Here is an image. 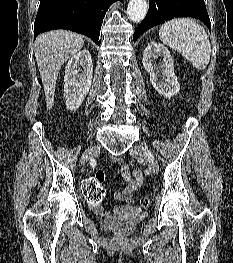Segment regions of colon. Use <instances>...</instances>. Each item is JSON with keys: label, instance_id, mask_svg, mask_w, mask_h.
I'll use <instances>...</instances> for the list:
<instances>
[{"label": "colon", "instance_id": "1", "mask_svg": "<svg viewBox=\"0 0 233 263\" xmlns=\"http://www.w3.org/2000/svg\"><path fill=\"white\" fill-rule=\"evenodd\" d=\"M92 173L94 174L93 177L83 178L82 180L85 198L88 199V208H95L96 205H100L105 193L103 186L105 171L103 169H93ZM140 204L142 207H148L150 205V199L144 196L141 198Z\"/></svg>", "mask_w": 233, "mask_h": 263}]
</instances>
